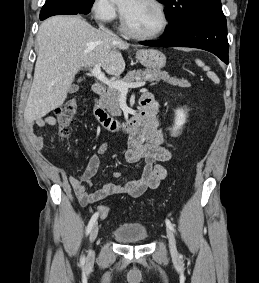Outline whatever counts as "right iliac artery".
<instances>
[{
	"label": "right iliac artery",
	"instance_id": "right-iliac-artery-1",
	"mask_svg": "<svg viewBox=\"0 0 259 283\" xmlns=\"http://www.w3.org/2000/svg\"><path fill=\"white\" fill-rule=\"evenodd\" d=\"M97 218H98V212L93 214V216L91 217V219H90V221L87 225V228H86V235H88L91 232L93 226L95 225V223L97 221ZM81 263H85V257L84 256L81 258Z\"/></svg>",
	"mask_w": 259,
	"mask_h": 283
}]
</instances>
